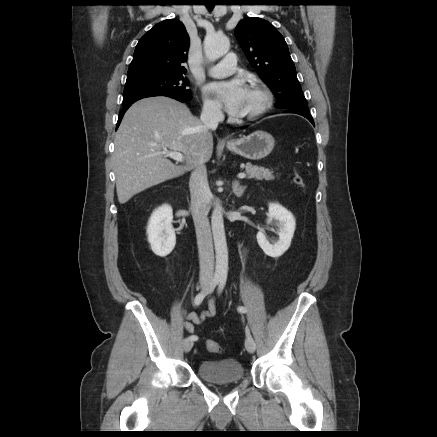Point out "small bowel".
Wrapping results in <instances>:
<instances>
[{
    "label": "small bowel",
    "mask_w": 437,
    "mask_h": 437,
    "mask_svg": "<svg viewBox=\"0 0 437 437\" xmlns=\"http://www.w3.org/2000/svg\"><path fill=\"white\" fill-rule=\"evenodd\" d=\"M216 314V306L214 300L209 302L208 308L202 313L197 314L195 312H185V329L193 334L195 332V326L202 324L207 318H211Z\"/></svg>",
    "instance_id": "c3829d8e"
}]
</instances>
